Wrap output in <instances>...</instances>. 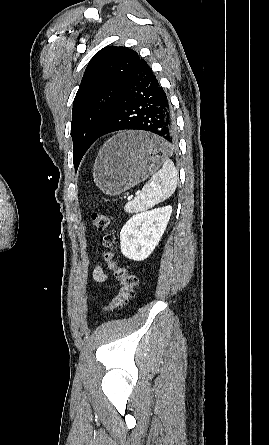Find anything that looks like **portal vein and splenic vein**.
<instances>
[{
  "label": "portal vein and splenic vein",
  "mask_w": 269,
  "mask_h": 445,
  "mask_svg": "<svg viewBox=\"0 0 269 445\" xmlns=\"http://www.w3.org/2000/svg\"><path fill=\"white\" fill-rule=\"evenodd\" d=\"M137 195H138V193H137ZM132 197H133V196H129V197H128V200H131V199H132Z\"/></svg>",
  "instance_id": "18ae733b"
}]
</instances>
